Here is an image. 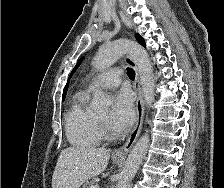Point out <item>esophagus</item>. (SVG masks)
Listing matches in <instances>:
<instances>
[{
    "mask_svg": "<svg viewBox=\"0 0 224 188\" xmlns=\"http://www.w3.org/2000/svg\"><path fill=\"white\" fill-rule=\"evenodd\" d=\"M125 59L127 63L130 66H132L133 69L135 70V82L133 87L137 94L136 122L125 144L113 152L114 157H126V155L130 152V150L132 149L133 145L135 144V142L137 141L140 135V132L143 126V120H144V101H143V94H142V89L140 85L138 67L135 61L129 55H126Z\"/></svg>",
    "mask_w": 224,
    "mask_h": 188,
    "instance_id": "esophagus-1",
    "label": "esophagus"
}]
</instances>
